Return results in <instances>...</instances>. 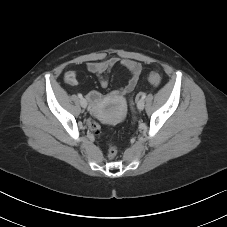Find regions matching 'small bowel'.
I'll list each match as a JSON object with an SVG mask.
<instances>
[{
  "label": "small bowel",
  "instance_id": "1",
  "mask_svg": "<svg viewBox=\"0 0 227 227\" xmlns=\"http://www.w3.org/2000/svg\"><path fill=\"white\" fill-rule=\"evenodd\" d=\"M116 65H121L129 72V79L127 83L118 90H114L109 94L110 98L122 100L127 96L136 86L142 72V66L139 62L130 59H120L118 57H111L101 61H91L86 64V69L98 76L100 85L103 88L108 86L107 74ZM64 81L68 85H77V74L73 70L66 71L64 74ZM90 103L93 106L98 105L102 100L101 93L91 91L87 94Z\"/></svg>",
  "mask_w": 227,
  "mask_h": 227
}]
</instances>
